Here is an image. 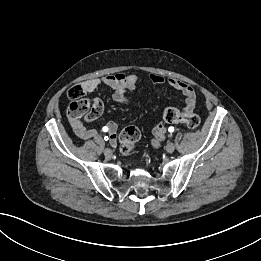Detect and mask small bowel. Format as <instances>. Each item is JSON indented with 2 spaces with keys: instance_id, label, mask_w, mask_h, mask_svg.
<instances>
[{
  "instance_id": "1",
  "label": "small bowel",
  "mask_w": 261,
  "mask_h": 261,
  "mask_svg": "<svg viewBox=\"0 0 261 261\" xmlns=\"http://www.w3.org/2000/svg\"><path fill=\"white\" fill-rule=\"evenodd\" d=\"M150 80L154 84H168L174 89L180 91L185 97V105L182 110L183 113H190L195 109L197 102V95L193 87L176 78H164L157 74H151ZM139 82L138 76L134 74L117 73L114 75L105 76L102 78L89 79L82 82L80 85L84 93H91L96 90L100 85H105L114 91L113 98L116 102L121 104H130L127 97V92L133 90ZM97 100V99H96ZM103 108V104L98 100ZM69 123L75 135L82 139L87 140L97 135V130L94 128L86 127L80 120V117L73 116L70 111L68 113ZM112 144L117 142V124L109 121L106 126ZM166 126L160 124L153 129L152 145L158 147L166 135Z\"/></svg>"
}]
</instances>
